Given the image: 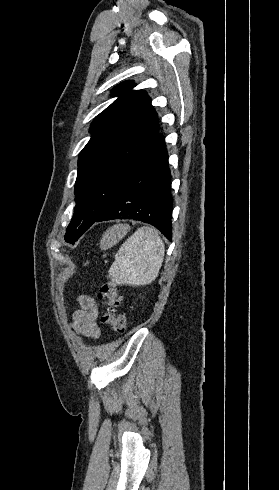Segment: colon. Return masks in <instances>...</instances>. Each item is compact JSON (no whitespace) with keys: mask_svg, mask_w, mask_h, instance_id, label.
I'll return each instance as SVG.
<instances>
[{"mask_svg":"<svg viewBox=\"0 0 279 490\" xmlns=\"http://www.w3.org/2000/svg\"><path fill=\"white\" fill-rule=\"evenodd\" d=\"M100 297L104 304L102 323L110 326L114 332L123 333L127 327V319L118 312L121 298L114 283L104 282L100 287Z\"/></svg>","mask_w":279,"mask_h":490,"instance_id":"1","label":"colon"}]
</instances>
